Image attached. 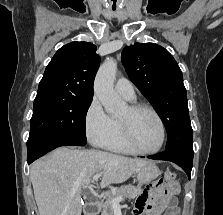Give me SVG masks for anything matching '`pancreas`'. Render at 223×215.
I'll list each match as a JSON object with an SVG mask.
<instances>
[{
	"label": "pancreas",
	"instance_id": "1",
	"mask_svg": "<svg viewBox=\"0 0 223 215\" xmlns=\"http://www.w3.org/2000/svg\"><path fill=\"white\" fill-rule=\"evenodd\" d=\"M135 185H131V183H128V185H121V187H116L115 193H111L110 197L102 203L103 211L101 215H113L114 209L111 205V199L113 197H118V195H123L124 197H128V199H133V197H136L140 191L134 190Z\"/></svg>",
	"mask_w": 223,
	"mask_h": 215
}]
</instances>
